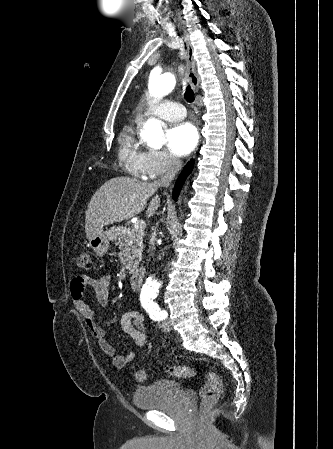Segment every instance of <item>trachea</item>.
<instances>
[{"label": "trachea", "mask_w": 333, "mask_h": 449, "mask_svg": "<svg viewBox=\"0 0 333 449\" xmlns=\"http://www.w3.org/2000/svg\"><path fill=\"white\" fill-rule=\"evenodd\" d=\"M184 97L187 100V102H193L194 101V92L191 89V86L189 84L186 86Z\"/></svg>", "instance_id": "3493384b"}]
</instances>
